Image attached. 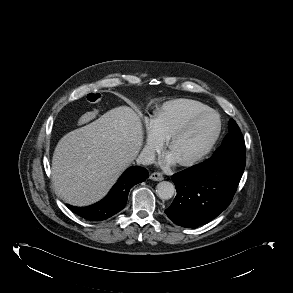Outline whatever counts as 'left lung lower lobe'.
Masks as SVG:
<instances>
[{"label": "left lung lower lobe", "instance_id": "0a47b994", "mask_svg": "<svg viewBox=\"0 0 293 293\" xmlns=\"http://www.w3.org/2000/svg\"><path fill=\"white\" fill-rule=\"evenodd\" d=\"M223 152L220 158L172 176L177 195L165 213L177 225L195 228L206 224L232 201L245 168L246 148Z\"/></svg>", "mask_w": 293, "mask_h": 293}]
</instances>
